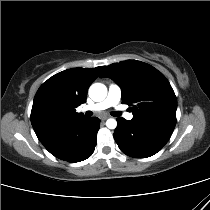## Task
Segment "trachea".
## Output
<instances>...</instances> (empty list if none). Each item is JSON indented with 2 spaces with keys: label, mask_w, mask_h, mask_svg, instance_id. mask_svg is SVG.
<instances>
[{
  "label": "trachea",
  "mask_w": 210,
  "mask_h": 210,
  "mask_svg": "<svg viewBox=\"0 0 210 210\" xmlns=\"http://www.w3.org/2000/svg\"><path fill=\"white\" fill-rule=\"evenodd\" d=\"M86 114H87L88 116H91V115H92L91 112H88V113H86ZM111 115L114 116V117H118V116L121 115V113L118 112V111H114V112L111 113Z\"/></svg>",
  "instance_id": "1"
}]
</instances>
